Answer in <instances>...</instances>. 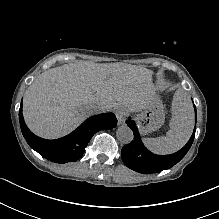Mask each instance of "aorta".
<instances>
[{
	"mask_svg": "<svg viewBox=\"0 0 219 219\" xmlns=\"http://www.w3.org/2000/svg\"><path fill=\"white\" fill-rule=\"evenodd\" d=\"M117 139L123 144H129L133 141V131L126 125L120 126L116 131Z\"/></svg>",
	"mask_w": 219,
	"mask_h": 219,
	"instance_id": "762f6f07",
	"label": "aorta"
}]
</instances>
